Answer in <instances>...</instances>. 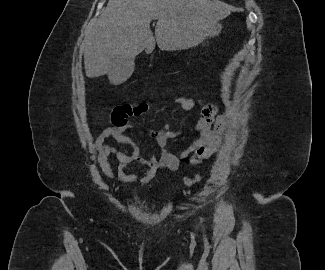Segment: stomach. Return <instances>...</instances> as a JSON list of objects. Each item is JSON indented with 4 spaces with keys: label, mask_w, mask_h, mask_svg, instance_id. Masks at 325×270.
<instances>
[{
    "label": "stomach",
    "mask_w": 325,
    "mask_h": 270,
    "mask_svg": "<svg viewBox=\"0 0 325 270\" xmlns=\"http://www.w3.org/2000/svg\"><path fill=\"white\" fill-rule=\"evenodd\" d=\"M221 28L222 26L220 24H216L215 27L211 30L209 35L212 37L219 35Z\"/></svg>",
    "instance_id": "1"
}]
</instances>
